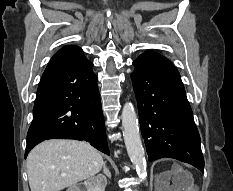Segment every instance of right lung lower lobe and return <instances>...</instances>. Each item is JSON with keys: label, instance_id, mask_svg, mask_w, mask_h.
<instances>
[{"label": "right lung lower lobe", "instance_id": "98d812e1", "mask_svg": "<svg viewBox=\"0 0 233 191\" xmlns=\"http://www.w3.org/2000/svg\"><path fill=\"white\" fill-rule=\"evenodd\" d=\"M92 66L85 57L48 64L37 89L25 158L35 145L53 138L87 141L109 155Z\"/></svg>", "mask_w": 233, "mask_h": 191}]
</instances>
